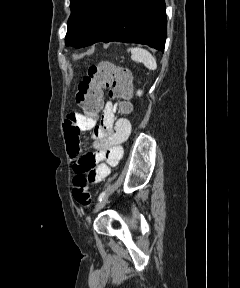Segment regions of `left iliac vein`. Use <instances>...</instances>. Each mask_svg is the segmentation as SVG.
<instances>
[{"label": "left iliac vein", "mask_w": 240, "mask_h": 288, "mask_svg": "<svg viewBox=\"0 0 240 288\" xmlns=\"http://www.w3.org/2000/svg\"><path fill=\"white\" fill-rule=\"evenodd\" d=\"M108 201V196H105L101 201L98 202V204L95 206V209H94V213H97L99 212L103 207L104 205L107 203Z\"/></svg>", "instance_id": "left-iliac-vein-1"}]
</instances>
